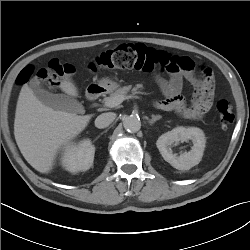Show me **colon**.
Masks as SVG:
<instances>
[{
    "label": "colon",
    "instance_id": "1",
    "mask_svg": "<svg viewBox=\"0 0 250 250\" xmlns=\"http://www.w3.org/2000/svg\"><path fill=\"white\" fill-rule=\"evenodd\" d=\"M92 71L109 69H134L143 72L159 70L170 75L179 74L190 69L189 59L170 54L165 51L146 47L142 44H122L108 49L98 55L89 65ZM73 72L69 64L52 60L48 68L37 72L40 81L51 88L60 85L62 78ZM34 74L32 67H25L17 76L18 84H25ZM199 80L195 84L192 102L205 100L212 90L211 70L205 66L200 68ZM216 112L222 128H228L234 121L231 104L227 100H220L216 104Z\"/></svg>",
    "mask_w": 250,
    "mask_h": 250
}]
</instances>
